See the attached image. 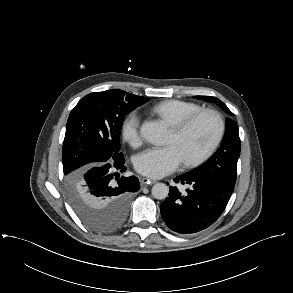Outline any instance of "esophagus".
Here are the masks:
<instances>
[{
    "label": "esophagus",
    "mask_w": 293,
    "mask_h": 293,
    "mask_svg": "<svg viewBox=\"0 0 293 293\" xmlns=\"http://www.w3.org/2000/svg\"><path fill=\"white\" fill-rule=\"evenodd\" d=\"M142 183H144V185L153 184L156 183V180L150 178H143Z\"/></svg>",
    "instance_id": "1"
}]
</instances>
